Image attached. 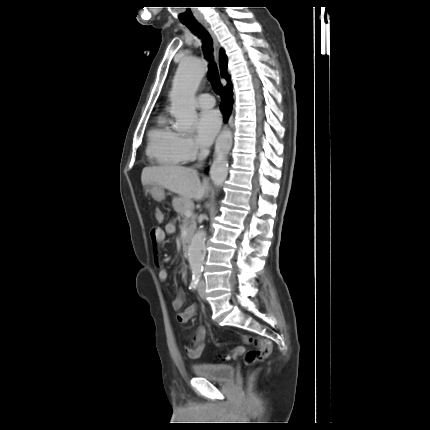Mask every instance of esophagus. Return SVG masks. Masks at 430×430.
Returning <instances> with one entry per match:
<instances>
[{
    "instance_id": "esophagus-1",
    "label": "esophagus",
    "mask_w": 430,
    "mask_h": 430,
    "mask_svg": "<svg viewBox=\"0 0 430 430\" xmlns=\"http://www.w3.org/2000/svg\"><path fill=\"white\" fill-rule=\"evenodd\" d=\"M202 25L206 28V30L209 32V34L212 37L213 47H214V57L217 60L218 59V55H219V51H220L219 41H218L215 33L213 32V30L211 29V27L209 26V24L207 22H202Z\"/></svg>"
}]
</instances>
